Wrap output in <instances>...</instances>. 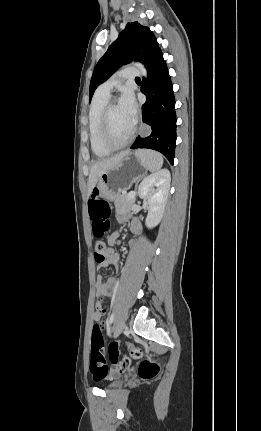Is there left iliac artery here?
I'll use <instances>...</instances> for the list:
<instances>
[{
    "instance_id": "1",
    "label": "left iliac artery",
    "mask_w": 261,
    "mask_h": 431,
    "mask_svg": "<svg viewBox=\"0 0 261 431\" xmlns=\"http://www.w3.org/2000/svg\"><path fill=\"white\" fill-rule=\"evenodd\" d=\"M113 321H114V313H112L109 316L108 320H107V327H108V329H109V327H110V325L112 324Z\"/></svg>"
}]
</instances>
